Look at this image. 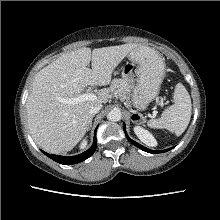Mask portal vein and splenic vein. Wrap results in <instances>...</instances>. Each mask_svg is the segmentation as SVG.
<instances>
[{"label":"portal vein and splenic vein","mask_w":220,"mask_h":220,"mask_svg":"<svg viewBox=\"0 0 220 220\" xmlns=\"http://www.w3.org/2000/svg\"><path fill=\"white\" fill-rule=\"evenodd\" d=\"M96 99V95L93 93H86L83 95H79L77 97L71 98V99H66L64 100V103H68V104H77L79 102L82 101H87V100H95ZM161 105H163V103L161 102Z\"/></svg>","instance_id":"1"}]
</instances>
